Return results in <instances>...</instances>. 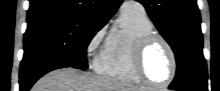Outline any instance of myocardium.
Listing matches in <instances>:
<instances>
[{
	"label": "myocardium",
	"mask_w": 220,
	"mask_h": 91,
	"mask_svg": "<svg viewBox=\"0 0 220 91\" xmlns=\"http://www.w3.org/2000/svg\"><path fill=\"white\" fill-rule=\"evenodd\" d=\"M160 42L162 43L166 49L169 52L170 58H171V73L168 77V79L164 82H155L152 81L146 74L145 68H144V60L145 55L151 45L154 43ZM133 66L136 75L139 77L142 83L151 86V87H157L162 88L166 87L171 84V82L174 80L177 74V57L175 54V51L172 47V45L161 35L151 33L148 34L142 38H140L135 47L133 52Z\"/></svg>",
	"instance_id": "f54148a6"
}]
</instances>
